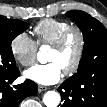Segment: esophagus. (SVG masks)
Here are the masks:
<instances>
[{
  "label": "esophagus",
  "instance_id": "1",
  "mask_svg": "<svg viewBox=\"0 0 107 107\" xmlns=\"http://www.w3.org/2000/svg\"><path fill=\"white\" fill-rule=\"evenodd\" d=\"M48 90V87L42 86V85H38V92L41 93L43 91Z\"/></svg>",
  "mask_w": 107,
  "mask_h": 107
}]
</instances>
